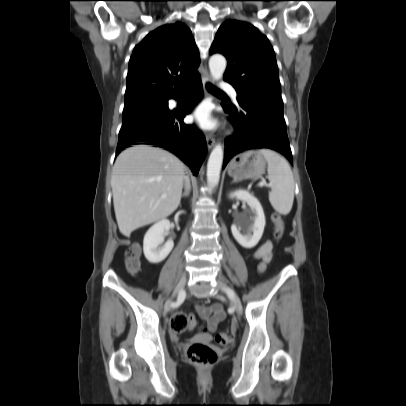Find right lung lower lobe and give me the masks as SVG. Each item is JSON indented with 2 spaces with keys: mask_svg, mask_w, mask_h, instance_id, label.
I'll use <instances>...</instances> for the list:
<instances>
[{
  "mask_svg": "<svg viewBox=\"0 0 406 406\" xmlns=\"http://www.w3.org/2000/svg\"><path fill=\"white\" fill-rule=\"evenodd\" d=\"M191 85L193 91L181 110H173L161 122L152 126L119 134L116 154L131 145H153L175 154L184 163L191 166L194 175H197L206 155V139L194 125L184 124L183 118L201 99L203 87L200 77L196 78ZM177 96L178 94L171 98H177Z\"/></svg>",
  "mask_w": 406,
  "mask_h": 406,
  "instance_id": "1",
  "label": "right lung lower lobe"
}]
</instances>
